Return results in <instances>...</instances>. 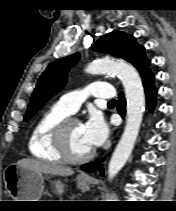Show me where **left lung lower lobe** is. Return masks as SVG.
<instances>
[{
	"label": "left lung lower lobe",
	"instance_id": "left-lung-lower-lobe-1",
	"mask_svg": "<svg viewBox=\"0 0 176 211\" xmlns=\"http://www.w3.org/2000/svg\"><path fill=\"white\" fill-rule=\"evenodd\" d=\"M142 80H143V84H144V88L146 92L148 109L152 110L155 107L156 93H157V89L155 85L153 84L154 75ZM125 106H126L125 98L123 94L121 93L119 95V100H118V112L121 114L122 117H124V114H125ZM100 166H101L100 161H94V162L83 165L82 169L85 171H94L98 169ZM101 174L103 175L102 171H101Z\"/></svg>",
	"mask_w": 176,
	"mask_h": 211
}]
</instances>
